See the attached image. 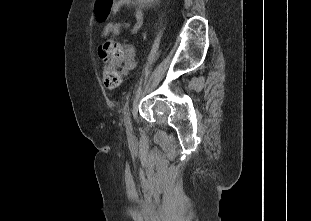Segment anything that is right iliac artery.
Instances as JSON below:
<instances>
[{"instance_id": "82829eb1", "label": "right iliac artery", "mask_w": 311, "mask_h": 221, "mask_svg": "<svg viewBox=\"0 0 311 221\" xmlns=\"http://www.w3.org/2000/svg\"><path fill=\"white\" fill-rule=\"evenodd\" d=\"M124 117H125L126 129L130 132V131H132V125H131V121H130V113H129L128 102L125 104V107H124Z\"/></svg>"}]
</instances>
